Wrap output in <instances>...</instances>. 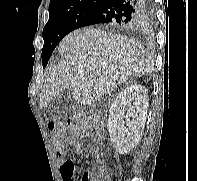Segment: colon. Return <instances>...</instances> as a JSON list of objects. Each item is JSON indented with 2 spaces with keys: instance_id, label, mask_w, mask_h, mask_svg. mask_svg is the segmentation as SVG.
<instances>
[{
  "instance_id": "obj_1",
  "label": "colon",
  "mask_w": 197,
  "mask_h": 181,
  "mask_svg": "<svg viewBox=\"0 0 197 181\" xmlns=\"http://www.w3.org/2000/svg\"><path fill=\"white\" fill-rule=\"evenodd\" d=\"M48 126L58 142L65 132L64 123L51 122ZM68 126L75 136L92 135L96 129V120L85 114H78L68 121ZM80 179L81 181H108V173L102 170L88 169L82 173Z\"/></svg>"
}]
</instances>
